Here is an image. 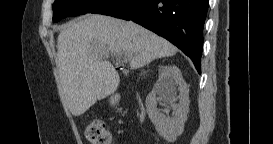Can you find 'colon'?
<instances>
[{
	"mask_svg": "<svg viewBox=\"0 0 273 144\" xmlns=\"http://www.w3.org/2000/svg\"><path fill=\"white\" fill-rule=\"evenodd\" d=\"M85 135L92 144H108L111 141L109 130L100 120L90 122L85 129Z\"/></svg>",
	"mask_w": 273,
	"mask_h": 144,
	"instance_id": "colon-1",
	"label": "colon"
}]
</instances>
